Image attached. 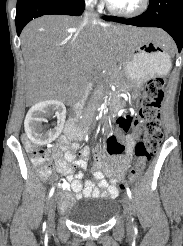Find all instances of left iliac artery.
Instances as JSON below:
<instances>
[{"mask_svg":"<svg viewBox=\"0 0 183 246\" xmlns=\"http://www.w3.org/2000/svg\"><path fill=\"white\" fill-rule=\"evenodd\" d=\"M126 191H127L129 198L132 199V193L128 186L126 187Z\"/></svg>","mask_w":183,"mask_h":246,"instance_id":"left-iliac-artery-1","label":"left iliac artery"}]
</instances>
